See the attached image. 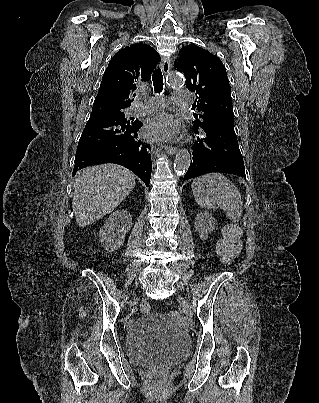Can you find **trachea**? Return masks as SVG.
<instances>
[{
    "instance_id": "1",
    "label": "trachea",
    "mask_w": 319,
    "mask_h": 403,
    "mask_svg": "<svg viewBox=\"0 0 319 403\" xmlns=\"http://www.w3.org/2000/svg\"><path fill=\"white\" fill-rule=\"evenodd\" d=\"M152 81L155 93H160L163 90V75L161 70L158 68L153 72Z\"/></svg>"
}]
</instances>
